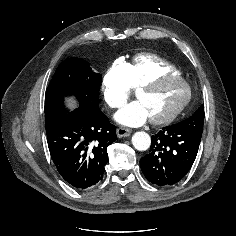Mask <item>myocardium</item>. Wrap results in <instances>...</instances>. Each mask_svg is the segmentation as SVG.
Wrapping results in <instances>:
<instances>
[{
	"mask_svg": "<svg viewBox=\"0 0 236 236\" xmlns=\"http://www.w3.org/2000/svg\"><path fill=\"white\" fill-rule=\"evenodd\" d=\"M165 81H178L185 86V97L183 100L167 115L150 118V121L156 125H163L172 122L188 105L192 97V90L189 83L181 76L176 74H162L156 76L136 88L135 95L138 97L142 92L152 90Z\"/></svg>",
	"mask_w": 236,
	"mask_h": 236,
	"instance_id": "myocardium-1",
	"label": "myocardium"
}]
</instances>
